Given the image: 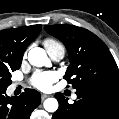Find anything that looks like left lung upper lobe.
Wrapping results in <instances>:
<instances>
[{
  "mask_svg": "<svg viewBox=\"0 0 119 119\" xmlns=\"http://www.w3.org/2000/svg\"><path fill=\"white\" fill-rule=\"evenodd\" d=\"M45 30L67 48L70 65L64 78L76 90L119 91V70L105 43L87 29L74 25H47Z\"/></svg>",
  "mask_w": 119,
  "mask_h": 119,
  "instance_id": "obj_1",
  "label": "left lung upper lobe"
}]
</instances>
